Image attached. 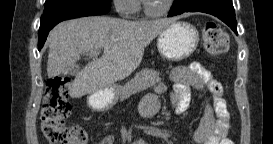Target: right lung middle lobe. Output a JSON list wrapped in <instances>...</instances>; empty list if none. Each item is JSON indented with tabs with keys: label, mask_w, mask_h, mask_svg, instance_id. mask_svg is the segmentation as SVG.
Masks as SVG:
<instances>
[{
	"label": "right lung middle lobe",
	"mask_w": 273,
	"mask_h": 144,
	"mask_svg": "<svg viewBox=\"0 0 273 144\" xmlns=\"http://www.w3.org/2000/svg\"><path fill=\"white\" fill-rule=\"evenodd\" d=\"M56 1H59V0H46L45 1V4H44V7H47L49 6L50 4L56 2ZM107 1H111V0H107Z\"/></svg>",
	"instance_id": "obj_1"
}]
</instances>
